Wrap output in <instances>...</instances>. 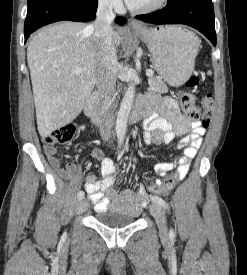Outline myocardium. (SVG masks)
Here are the masks:
<instances>
[{"instance_id":"obj_1","label":"myocardium","mask_w":247,"mask_h":275,"mask_svg":"<svg viewBox=\"0 0 247 275\" xmlns=\"http://www.w3.org/2000/svg\"><path fill=\"white\" fill-rule=\"evenodd\" d=\"M167 2H168V0H159L150 6L143 7V8H137V7L132 6L131 3L127 1V6L132 12H135L138 14H148V13H152V12L160 10L161 8H163L166 5Z\"/></svg>"}]
</instances>
